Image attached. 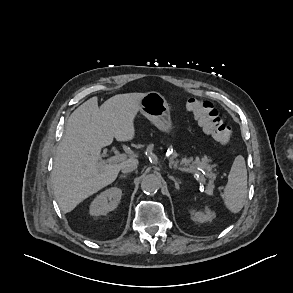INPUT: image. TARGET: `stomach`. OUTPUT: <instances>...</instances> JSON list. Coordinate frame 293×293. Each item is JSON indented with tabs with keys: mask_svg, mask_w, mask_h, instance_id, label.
<instances>
[{
	"mask_svg": "<svg viewBox=\"0 0 293 293\" xmlns=\"http://www.w3.org/2000/svg\"><path fill=\"white\" fill-rule=\"evenodd\" d=\"M140 112L161 132L171 133L173 124L170 107L166 99L158 92H148L140 100Z\"/></svg>",
	"mask_w": 293,
	"mask_h": 293,
	"instance_id": "stomach-1",
	"label": "stomach"
}]
</instances>
